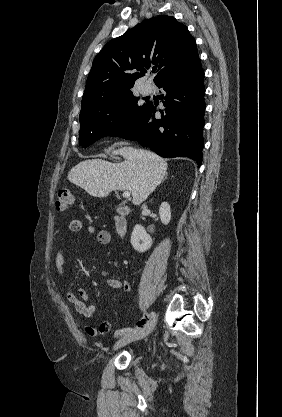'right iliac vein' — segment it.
<instances>
[{
	"label": "right iliac vein",
	"mask_w": 282,
	"mask_h": 417,
	"mask_svg": "<svg viewBox=\"0 0 282 417\" xmlns=\"http://www.w3.org/2000/svg\"><path fill=\"white\" fill-rule=\"evenodd\" d=\"M157 323V318H154L149 322V324L142 330L134 332V333H127L123 335L114 345L113 350H117L128 343L133 341L141 340L148 336L154 329Z\"/></svg>",
	"instance_id": "1"
}]
</instances>
